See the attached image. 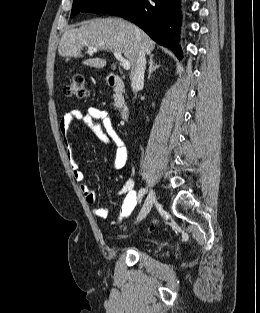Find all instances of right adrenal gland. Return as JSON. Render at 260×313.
<instances>
[{"instance_id":"right-adrenal-gland-1","label":"right adrenal gland","mask_w":260,"mask_h":313,"mask_svg":"<svg viewBox=\"0 0 260 313\" xmlns=\"http://www.w3.org/2000/svg\"><path fill=\"white\" fill-rule=\"evenodd\" d=\"M154 55H150V61H149V70H148V79H150L151 74L153 73L154 70H156L160 65L154 64Z\"/></svg>"}]
</instances>
